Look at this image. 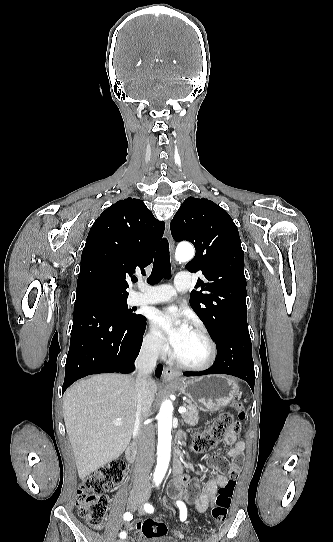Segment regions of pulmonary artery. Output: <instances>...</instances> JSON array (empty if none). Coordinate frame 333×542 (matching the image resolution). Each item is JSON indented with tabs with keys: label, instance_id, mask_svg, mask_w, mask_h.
<instances>
[{
	"label": "pulmonary artery",
	"instance_id": "obj_1",
	"mask_svg": "<svg viewBox=\"0 0 333 542\" xmlns=\"http://www.w3.org/2000/svg\"><path fill=\"white\" fill-rule=\"evenodd\" d=\"M178 291L172 292V287L167 284H146L143 287L144 300H136L134 304H163L174 301L179 294L185 293L189 276L184 272H178L175 276ZM140 288L133 289L132 293H138Z\"/></svg>",
	"mask_w": 333,
	"mask_h": 542
}]
</instances>
